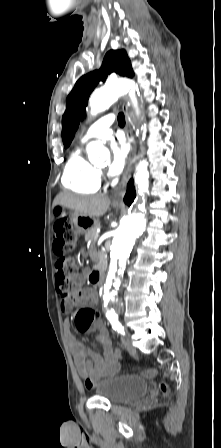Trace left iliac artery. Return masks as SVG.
<instances>
[{
    "label": "left iliac artery",
    "mask_w": 221,
    "mask_h": 448,
    "mask_svg": "<svg viewBox=\"0 0 221 448\" xmlns=\"http://www.w3.org/2000/svg\"><path fill=\"white\" fill-rule=\"evenodd\" d=\"M107 317L110 323L112 324L113 329L116 330L121 335H124L125 330L122 324L118 321V316L114 312H112Z\"/></svg>",
    "instance_id": "left-iliac-artery-1"
}]
</instances>
